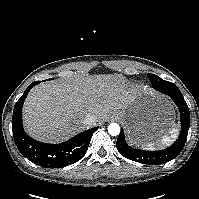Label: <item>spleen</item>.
I'll use <instances>...</instances> for the list:
<instances>
[{
  "mask_svg": "<svg viewBox=\"0 0 199 199\" xmlns=\"http://www.w3.org/2000/svg\"><path fill=\"white\" fill-rule=\"evenodd\" d=\"M178 130L176 128H173L169 135H164L161 137V139L157 140L156 142H147L142 144V148L148 149V150H154L157 147L164 148L165 146L169 145L174 138L177 137Z\"/></svg>",
  "mask_w": 199,
  "mask_h": 199,
  "instance_id": "obj_1",
  "label": "spleen"
}]
</instances>
